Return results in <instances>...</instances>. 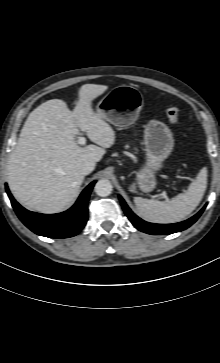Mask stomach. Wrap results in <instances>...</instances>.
<instances>
[{"label": "stomach", "mask_w": 220, "mask_h": 363, "mask_svg": "<svg viewBox=\"0 0 220 363\" xmlns=\"http://www.w3.org/2000/svg\"><path fill=\"white\" fill-rule=\"evenodd\" d=\"M144 106L142 93L133 86L121 85L109 91L97 104L96 113L118 127H127L139 117ZM145 163L136 172L135 183L143 192H151L157 185L156 173L163 167L164 160L174 147L171 130L162 122L151 120L144 127Z\"/></svg>", "instance_id": "0dacf381"}]
</instances>
